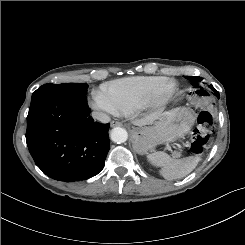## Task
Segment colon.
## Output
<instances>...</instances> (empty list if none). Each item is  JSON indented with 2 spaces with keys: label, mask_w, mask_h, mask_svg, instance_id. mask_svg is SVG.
I'll use <instances>...</instances> for the list:
<instances>
[{
  "label": "colon",
  "mask_w": 245,
  "mask_h": 245,
  "mask_svg": "<svg viewBox=\"0 0 245 245\" xmlns=\"http://www.w3.org/2000/svg\"><path fill=\"white\" fill-rule=\"evenodd\" d=\"M213 130L214 125L211 113L200 112L197 118V126L191 135V150L194 154L204 152Z\"/></svg>",
  "instance_id": "5ec220e1"
}]
</instances>
